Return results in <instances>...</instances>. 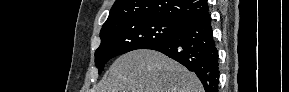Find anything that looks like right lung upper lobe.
Masks as SVG:
<instances>
[{"mask_svg":"<svg viewBox=\"0 0 289 92\" xmlns=\"http://www.w3.org/2000/svg\"><path fill=\"white\" fill-rule=\"evenodd\" d=\"M208 11L206 0H116L102 28L142 17H157L179 23Z\"/></svg>","mask_w":289,"mask_h":92,"instance_id":"obj_1","label":"right lung upper lobe"}]
</instances>
